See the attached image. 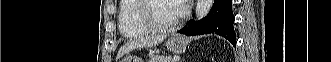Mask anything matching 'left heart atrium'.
I'll return each mask as SVG.
<instances>
[{
	"instance_id": "obj_1",
	"label": "left heart atrium",
	"mask_w": 331,
	"mask_h": 62,
	"mask_svg": "<svg viewBox=\"0 0 331 62\" xmlns=\"http://www.w3.org/2000/svg\"><path fill=\"white\" fill-rule=\"evenodd\" d=\"M176 3H177V8H178L179 14H182L184 12V10L186 9L187 0H176Z\"/></svg>"
}]
</instances>
